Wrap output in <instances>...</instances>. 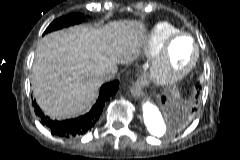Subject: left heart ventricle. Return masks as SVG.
<instances>
[{
  "instance_id": "b2bd125f",
  "label": "left heart ventricle",
  "mask_w": 240,
  "mask_h": 160,
  "mask_svg": "<svg viewBox=\"0 0 240 160\" xmlns=\"http://www.w3.org/2000/svg\"><path fill=\"white\" fill-rule=\"evenodd\" d=\"M193 54V47L189 39L176 40L170 51V66L180 68L184 66Z\"/></svg>"
}]
</instances>
